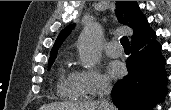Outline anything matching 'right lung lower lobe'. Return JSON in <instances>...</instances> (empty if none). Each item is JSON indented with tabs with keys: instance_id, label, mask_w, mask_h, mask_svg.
I'll use <instances>...</instances> for the list:
<instances>
[{
	"instance_id": "obj_1",
	"label": "right lung lower lobe",
	"mask_w": 171,
	"mask_h": 110,
	"mask_svg": "<svg viewBox=\"0 0 171 110\" xmlns=\"http://www.w3.org/2000/svg\"><path fill=\"white\" fill-rule=\"evenodd\" d=\"M155 37L153 31L131 44L132 54L126 61L129 73L111 92L121 110H151L167 94L166 60Z\"/></svg>"
}]
</instances>
